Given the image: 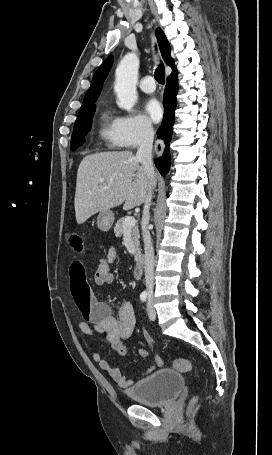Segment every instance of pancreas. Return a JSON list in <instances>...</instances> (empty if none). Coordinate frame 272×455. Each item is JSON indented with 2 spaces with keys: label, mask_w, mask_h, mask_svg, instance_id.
<instances>
[{
  "label": "pancreas",
  "mask_w": 272,
  "mask_h": 455,
  "mask_svg": "<svg viewBox=\"0 0 272 455\" xmlns=\"http://www.w3.org/2000/svg\"><path fill=\"white\" fill-rule=\"evenodd\" d=\"M124 220H125V218H120L114 226V233H115L116 237H121L125 231L124 226H123ZM131 236H132L133 246L135 248V261H137L139 258V255H140V248H139L140 235H139L138 226H134L133 228H131Z\"/></svg>",
  "instance_id": "cf45deb5"
}]
</instances>
